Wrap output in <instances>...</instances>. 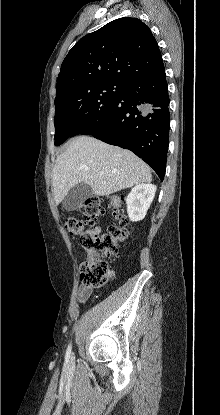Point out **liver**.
I'll use <instances>...</instances> for the list:
<instances>
[{"instance_id": "6515ba94", "label": "liver", "mask_w": 220, "mask_h": 415, "mask_svg": "<svg viewBox=\"0 0 220 415\" xmlns=\"http://www.w3.org/2000/svg\"><path fill=\"white\" fill-rule=\"evenodd\" d=\"M103 172V175H99ZM151 170L131 151L80 136L57 156L52 170L56 205L75 185L86 183L97 196H108L140 183H150Z\"/></svg>"}]
</instances>
